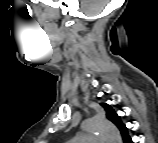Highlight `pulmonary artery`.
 I'll list each match as a JSON object with an SVG mask.
<instances>
[{"label":"pulmonary artery","mask_w":158,"mask_h":143,"mask_svg":"<svg viewBox=\"0 0 158 143\" xmlns=\"http://www.w3.org/2000/svg\"><path fill=\"white\" fill-rule=\"evenodd\" d=\"M78 140H80L82 142H91V141H95V140H99V139L94 136L85 134V135L79 136Z\"/></svg>","instance_id":"obj_1"}]
</instances>
